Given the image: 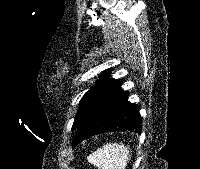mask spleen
<instances>
[{"mask_svg":"<svg viewBox=\"0 0 200 169\" xmlns=\"http://www.w3.org/2000/svg\"><path fill=\"white\" fill-rule=\"evenodd\" d=\"M128 146L123 144H106L97 149L87 160L99 169H125L131 157Z\"/></svg>","mask_w":200,"mask_h":169,"instance_id":"spleen-1","label":"spleen"}]
</instances>
